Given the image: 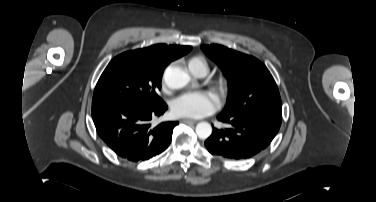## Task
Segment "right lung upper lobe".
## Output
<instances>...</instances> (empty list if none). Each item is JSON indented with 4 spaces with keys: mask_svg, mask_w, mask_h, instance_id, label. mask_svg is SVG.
I'll return each mask as SVG.
<instances>
[{
    "mask_svg": "<svg viewBox=\"0 0 376 202\" xmlns=\"http://www.w3.org/2000/svg\"><path fill=\"white\" fill-rule=\"evenodd\" d=\"M191 46L156 44L147 48L134 50L153 73H161L173 60L180 58L191 50Z\"/></svg>",
    "mask_w": 376,
    "mask_h": 202,
    "instance_id": "1",
    "label": "right lung upper lobe"
}]
</instances>
